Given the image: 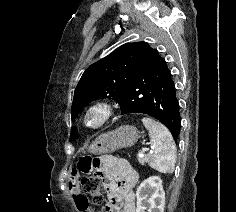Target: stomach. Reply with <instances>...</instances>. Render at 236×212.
<instances>
[{
  "instance_id": "0dacf381",
  "label": "stomach",
  "mask_w": 236,
  "mask_h": 212,
  "mask_svg": "<svg viewBox=\"0 0 236 212\" xmlns=\"http://www.w3.org/2000/svg\"><path fill=\"white\" fill-rule=\"evenodd\" d=\"M140 138V132L136 127L125 125L114 131L99 135L90 146L94 154H108L120 148L133 146Z\"/></svg>"
}]
</instances>
